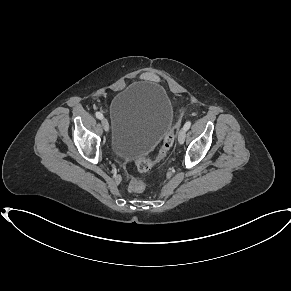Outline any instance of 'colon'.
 <instances>
[{
	"mask_svg": "<svg viewBox=\"0 0 291 291\" xmlns=\"http://www.w3.org/2000/svg\"><path fill=\"white\" fill-rule=\"evenodd\" d=\"M182 113H183V110L181 109L179 111L178 119H177L176 123L174 124L173 128L164 135L162 142H161V146L158 150V153H157L155 159L151 160V159H148L145 157H140L137 159L136 166L140 172H147V171L151 170L152 167H154L157 163H159L160 161H162L166 157V155L168 154L170 148L172 147V145L174 143L175 130L178 127L179 120H180ZM128 189H129V191H131L133 193H141L144 190V183L140 180L135 179V178H131L130 182H129Z\"/></svg>",
	"mask_w": 291,
	"mask_h": 291,
	"instance_id": "obj_1",
	"label": "colon"
}]
</instances>
